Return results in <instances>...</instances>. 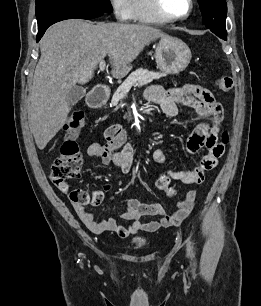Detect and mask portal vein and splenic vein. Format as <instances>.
<instances>
[{
	"instance_id": "obj_1",
	"label": "portal vein and splenic vein",
	"mask_w": 261,
	"mask_h": 306,
	"mask_svg": "<svg viewBox=\"0 0 261 306\" xmlns=\"http://www.w3.org/2000/svg\"><path fill=\"white\" fill-rule=\"evenodd\" d=\"M105 66H106V64H105L104 60L99 62V69H100V71H104L105 70Z\"/></svg>"
}]
</instances>
